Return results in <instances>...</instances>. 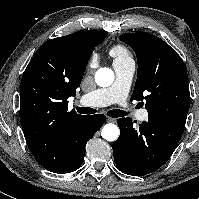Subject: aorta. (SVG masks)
<instances>
[{"instance_id": "762f6f07", "label": "aorta", "mask_w": 199, "mask_h": 199, "mask_svg": "<svg viewBox=\"0 0 199 199\" xmlns=\"http://www.w3.org/2000/svg\"><path fill=\"white\" fill-rule=\"evenodd\" d=\"M114 81V73L109 68H100L95 74V82L100 87H108ZM102 137L107 141H115L119 136V128L117 125L106 124L101 132Z\"/></svg>"}]
</instances>
